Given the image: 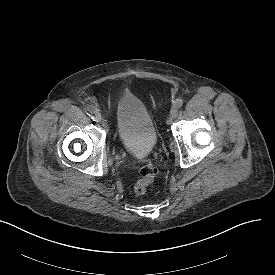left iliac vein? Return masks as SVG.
Segmentation results:
<instances>
[{
  "label": "left iliac vein",
  "instance_id": "left-iliac-vein-1",
  "mask_svg": "<svg viewBox=\"0 0 275 275\" xmlns=\"http://www.w3.org/2000/svg\"><path fill=\"white\" fill-rule=\"evenodd\" d=\"M178 115V109L176 106H173L170 111V118L175 119Z\"/></svg>",
  "mask_w": 275,
  "mask_h": 275
}]
</instances>
